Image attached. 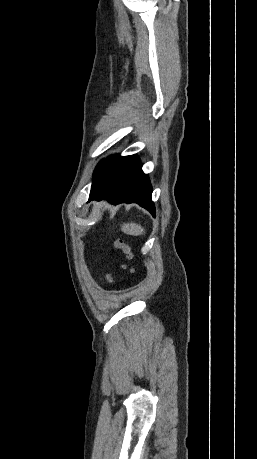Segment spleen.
<instances>
[{"mask_svg":"<svg viewBox=\"0 0 257 459\" xmlns=\"http://www.w3.org/2000/svg\"><path fill=\"white\" fill-rule=\"evenodd\" d=\"M121 230L125 234L133 236L142 235L144 233V228L140 224L134 222L123 224Z\"/></svg>","mask_w":257,"mask_h":459,"instance_id":"1","label":"spleen"}]
</instances>
